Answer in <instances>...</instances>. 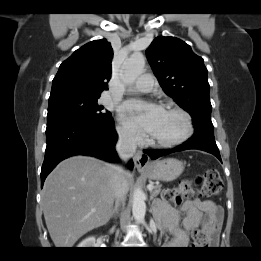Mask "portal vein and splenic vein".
I'll return each mask as SVG.
<instances>
[{"label": "portal vein and splenic vein", "instance_id": "portal-vein-and-splenic-vein-1", "mask_svg": "<svg viewBox=\"0 0 261 261\" xmlns=\"http://www.w3.org/2000/svg\"><path fill=\"white\" fill-rule=\"evenodd\" d=\"M147 188H148V190H153L154 189V186L153 185H151V184H149L148 186H147Z\"/></svg>", "mask_w": 261, "mask_h": 261}]
</instances>
